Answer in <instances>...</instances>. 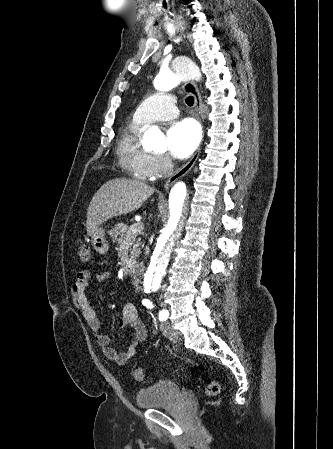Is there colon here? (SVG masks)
<instances>
[{
    "mask_svg": "<svg viewBox=\"0 0 333 449\" xmlns=\"http://www.w3.org/2000/svg\"><path fill=\"white\" fill-rule=\"evenodd\" d=\"M77 254H78L79 259H80L82 262H84V263L89 262L90 257H91V251H90L89 246H87V245L81 246V247L79 248ZM133 377H134L135 380H137V381H143V380L145 379V372H144V370L141 369V368L135 369V370L133 371ZM219 390H220L219 383H218L217 381L213 380V381H211V382L208 384V386H207V388H206V393H207V395H209V396H214V395H216V394L219 393Z\"/></svg>",
    "mask_w": 333,
    "mask_h": 449,
    "instance_id": "obj_1",
    "label": "colon"
}]
</instances>
